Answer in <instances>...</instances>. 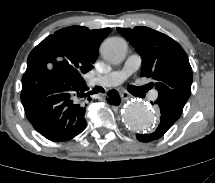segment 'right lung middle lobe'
Here are the masks:
<instances>
[{
    "label": "right lung middle lobe",
    "mask_w": 215,
    "mask_h": 183,
    "mask_svg": "<svg viewBox=\"0 0 215 183\" xmlns=\"http://www.w3.org/2000/svg\"><path fill=\"white\" fill-rule=\"evenodd\" d=\"M64 66L67 67L72 76L79 80L84 81L83 75L92 69V62L89 61L83 52L75 50L62 51Z\"/></svg>",
    "instance_id": "obj_1"
}]
</instances>
